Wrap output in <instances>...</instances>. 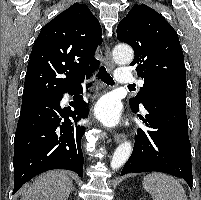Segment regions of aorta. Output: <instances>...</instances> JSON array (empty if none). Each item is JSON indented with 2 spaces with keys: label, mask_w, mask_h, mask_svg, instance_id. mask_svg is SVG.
<instances>
[{
  "label": "aorta",
  "mask_w": 201,
  "mask_h": 200,
  "mask_svg": "<svg viewBox=\"0 0 201 200\" xmlns=\"http://www.w3.org/2000/svg\"><path fill=\"white\" fill-rule=\"evenodd\" d=\"M113 58L119 64H129L134 58V53L131 47L124 44H119L116 45L113 50ZM131 153V142L125 141L121 143L112 156L111 168L113 170L119 169L128 160Z\"/></svg>",
  "instance_id": "1"
}]
</instances>
